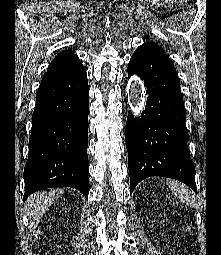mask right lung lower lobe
<instances>
[{"mask_svg":"<svg viewBox=\"0 0 221 255\" xmlns=\"http://www.w3.org/2000/svg\"><path fill=\"white\" fill-rule=\"evenodd\" d=\"M89 86L76 56L46 72L32 116L25 200L50 187H74L88 197Z\"/></svg>","mask_w":221,"mask_h":255,"instance_id":"obj_1","label":"right lung lower lobe"}]
</instances>
